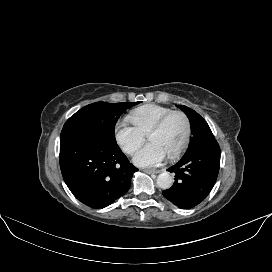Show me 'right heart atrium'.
Segmentation results:
<instances>
[{
	"instance_id": "obj_1",
	"label": "right heart atrium",
	"mask_w": 272,
	"mask_h": 272,
	"mask_svg": "<svg viewBox=\"0 0 272 272\" xmlns=\"http://www.w3.org/2000/svg\"><path fill=\"white\" fill-rule=\"evenodd\" d=\"M115 137L122 150L128 154L135 153L145 141V134L127 120L116 123Z\"/></svg>"
}]
</instances>
